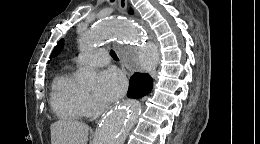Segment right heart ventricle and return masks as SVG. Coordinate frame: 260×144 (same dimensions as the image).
<instances>
[{
    "instance_id": "e07e8e85",
    "label": "right heart ventricle",
    "mask_w": 260,
    "mask_h": 144,
    "mask_svg": "<svg viewBox=\"0 0 260 144\" xmlns=\"http://www.w3.org/2000/svg\"><path fill=\"white\" fill-rule=\"evenodd\" d=\"M84 91L69 70L58 74L51 89V107L62 119L75 120L85 115Z\"/></svg>"
}]
</instances>
